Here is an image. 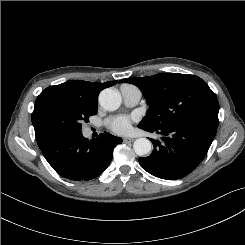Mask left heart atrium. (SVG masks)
<instances>
[{
	"label": "left heart atrium",
	"instance_id": "1",
	"mask_svg": "<svg viewBox=\"0 0 245 245\" xmlns=\"http://www.w3.org/2000/svg\"><path fill=\"white\" fill-rule=\"evenodd\" d=\"M133 118L130 116L119 115L106 121L107 127L116 134H127L131 129Z\"/></svg>",
	"mask_w": 245,
	"mask_h": 245
}]
</instances>
